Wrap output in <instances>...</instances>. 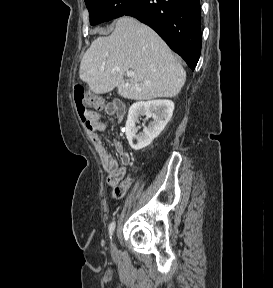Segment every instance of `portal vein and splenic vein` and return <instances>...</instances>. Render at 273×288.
Returning <instances> with one entry per match:
<instances>
[{
    "mask_svg": "<svg viewBox=\"0 0 273 288\" xmlns=\"http://www.w3.org/2000/svg\"><path fill=\"white\" fill-rule=\"evenodd\" d=\"M126 76L130 79L134 76V72L133 71H127Z\"/></svg>",
    "mask_w": 273,
    "mask_h": 288,
    "instance_id": "18ae733b",
    "label": "portal vein and splenic vein"
}]
</instances>
